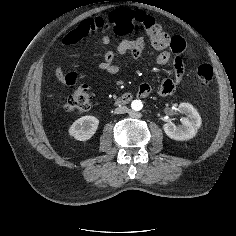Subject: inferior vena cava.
<instances>
[{"instance_id": "1", "label": "inferior vena cava", "mask_w": 236, "mask_h": 236, "mask_svg": "<svg viewBox=\"0 0 236 236\" xmlns=\"http://www.w3.org/2000/svg\"><path fill=\"white\" fill-rule=\"evenodd\" d=\"M128 111V108L126 106H119L115 109L114 113L115 114H123Z\"/></svg>"}]
</instances>
